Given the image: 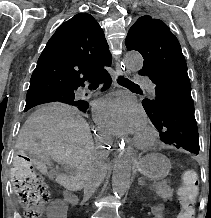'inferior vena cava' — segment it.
I'll return each instance as SVG.
<instances>
[{
  "label": "inferior vena cava",
  "mask_w": 211,
  "mask_h": 218,
  "mask_svg": "<svg viewBox=\"0 0 211 218\" xmlns=\"http://www.w3.org/2000/svg\"><path fill=\"white\" fill-rule=\"evenodd\" d=\"M98 154L102 160H105L106 154H103V152H98ZM101 164L102 162H98V166H101ZM101 182H103L101 168H97L94 172H88V174H85L83 182H80V186L84 190L85 202L93 196L94 192H96L97 188H99Z\"/></svg>",
  "instance_id": "inferior-vena-cava-1"
}]
</instances>
